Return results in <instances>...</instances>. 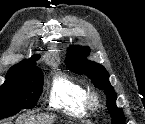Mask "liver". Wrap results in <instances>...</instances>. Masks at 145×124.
Returning <instances> with one entry per match:
<instances>
[{
    "label": "liver",
    "instance_id": "1",
    "mask_svg": "<svg viewBox=\"0 0 145 124\" xmlns=\"http://www.w3.org/2000/svg\"><path fill=\"white\" fill-rule=\"evenodd\" d=\"M55 121L54 116L50 115H37V116H22L17 120L16 124H53Z\"/></svg>",
    "mask_w": 145,
    "mask_h": 124
}]
</instances>
